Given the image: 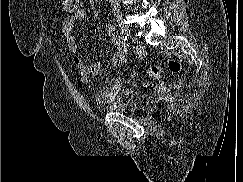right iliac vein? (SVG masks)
I'll return each mask as SVG.
<instances>
[{
	"label": "right iliac vein",
	"mask_w": 243,
	"mask_h": 182,
	"mask_svg": "<svg viewBox=\"0 0 243 182\" xmlns=\"http://www.w3.org/2000/svg\"><path fill=\"white\" fill-rule=\"evenodd\" d=\"M119 28H120V31L123 35H126V36H129L130 35V29L128 28L127 25H125L124 23L122 22H119Z\"/></svg>",
	"instance_id": "right-iliac-vein-1"
}]
</instances>
